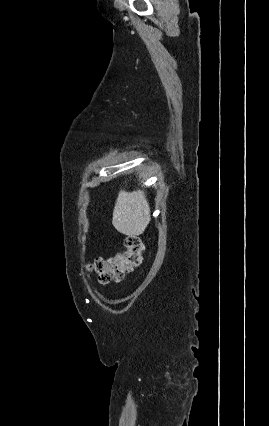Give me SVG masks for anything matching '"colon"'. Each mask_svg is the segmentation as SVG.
I'll list each match as a JSON object with an SVG mask.
<instances>
[{
	"mask_svg": "<svg viewBox=\"0 0 269 426\" xmlns=\"http://www.w3.org/2000/svg\"><path fill=\"white\" fill-rule=\"evenodd\" d=\"M145 245L140 237L127 235L124 239V249L114 255L95 258L88 270L101 284L122 281L141 262Z\"/></svg>",
	"mask_w": 269,
	"mask_h": 426,
	"instance_id": "obj_1",
	"label": "colon"
}]
</instances>
